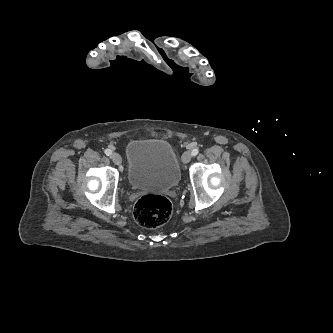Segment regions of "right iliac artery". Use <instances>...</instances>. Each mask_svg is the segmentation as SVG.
I'll use <instances>...</instances> for the list:
<instances>
[{
  "label": "right iliac artery",
  "instance_id": "82829eb1",
  "mask_svg": "<svg viewBox=\"0 0 333 333\" xmlns=\"http://www.w3.org/2000/svg\"><path fill=\"white\" fill-rule=\"evenodd\" d=\"M105 154H106L107 156H111V155L113 154L112 149H111L110 147L107 148V149L105 150Z\"/></svg>",
  "mask_w": 333,
  "mask_h": 333
}]
</instances>
